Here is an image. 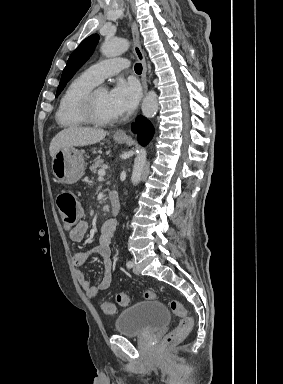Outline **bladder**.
I'll use <instances>...</instances> for the list:
<instances>
[{
	"label": "bladder",
	"mask_w": 283,
	"mask_h": 384,
	"mask_svg": "<svg viewBox=\"0 0 283 384\" xmlns=\"http://www.w3.org/2000/svg\"><path fill=\"white\" fill-rule=\"evenodd\" d=\"M169 319L170 313L161 301H139L119 312L114 331L124 337H142L162 328Z\"/></svg>",
	"instance_id": "bladder-1"
}]
</instances>
